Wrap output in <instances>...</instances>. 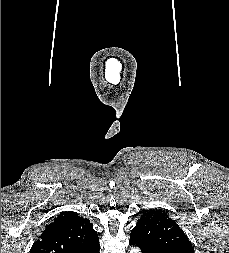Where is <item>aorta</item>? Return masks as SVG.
I'll list each match as a JSON object with an SVG mask.
<instances>
[{
	"mask_svg": "<svg viewBox=\"0 0 229 253\" xmlns=\"http://www.w3.org/2000/svg\"><path fill=\"white\" fill-rule=\"evenodd\" d=\"M129 253H141V251L137 247H132Z\"/></svg>",
	"mask_w": 229,
	"mask_h": 253,
	"instance_id": "aorta-1",
	"label": "aorta"
}]
</instances>
